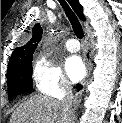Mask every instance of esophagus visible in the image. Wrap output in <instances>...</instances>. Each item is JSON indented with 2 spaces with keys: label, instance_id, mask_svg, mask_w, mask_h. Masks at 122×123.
<instances>
[{
  "label": "esophagus",
  "instance_id": "34e87169",
  "mask_svg": "<svg viewBox=\"0 0 122 123\" xmlns=\"http://www.w3.org/2000/svg\"><path fill=\"white\" fill-rule=\"evenodd\" d=\"M90 72H91V64L88 63V69H87V77H86V80H87V78L89 77ZM86 80L84 81V83L86 82Z\"/></svg>",
  "mask_w": 122,
  "mask_h": 123
}]
</instances>
